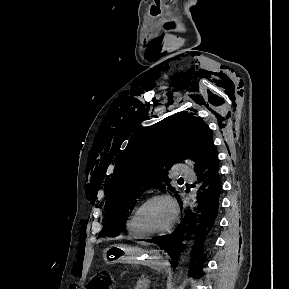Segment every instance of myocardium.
<instances>
[{
	"label": "myocardium",
	"instance_id": "obj_1",
	"mask_svg": "<svg viewBox=\"0 0 289 289\" xmlns=\"http://www.w3.org/2000/svg\"><path fill=\"white\" fill-rule=\"evenodd\" d=\"M154 200H166L167 202H169V204L171 205L172 211H173V218L171 223L163 230L160 231H153V232H148L145 231L141 228L140 224H139V216L142 212V210L144 209V207L149 204L150 202L154 201ZM179 217V210H178V206L177 203L175 202V200L168 194L165 193H156V194H152L149 197H147L134 211V217H133V221H134V225L136 227V229L144 236V237H155V236H163L166 235L168 233L171 232V230L174 228V226L177 223Z\"/></svg>",
	"mask_w": 289,
	"mask_h": 289
}]
</instances>
